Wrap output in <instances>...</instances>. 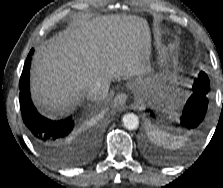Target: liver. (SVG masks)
<instances>
[{"label": "liver", "instance_id": "liver-1", "mask_svg": "<svg viewBox=\"0 0 223 188\" xmlns=\"http://www.w3.org/2000/svg\"><path fill=\"white\" fill-rule=\"evenodd\" d=\"M145 19L105 15L70 25L37 48L31 70L33 100L49 117L62 116L97 79H132L144 73L138 37Z\"/></svg>", "mask_w": 223, "mask_h": 188}]
</instances>
